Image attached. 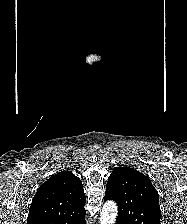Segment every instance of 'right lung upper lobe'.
Masks as SVG:
<instances>
[{"instance_id": "obj_1", "label": "right lung upper lobe", "mask_w": 187, "mask_h": 224, "mask_svg": "<svg viewBox=\"0 0 187 224\" xmlns=\"http://www.w3.org/2000/svg\"><path fill=\"white\" fill-rule=\"evenodd\" d=\"M81 180L70 171L51 176L37 190L27 224H71L85 217Z\"/></svg>"}]
</instances>
